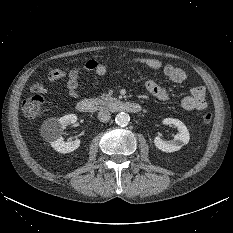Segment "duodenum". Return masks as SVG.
Wrapping results in <instances>:
<instances>
[{
  "instance_id": "duodenum-1",
  "label": "duodenum",
  "mask_w": 233,
  "mask_h": 233,
  "mask_svg": "<svg viewBox=\"0 0 233 233\" xmlns=\"http://www.w3.org/2000/svg\"><path fill=\"white\" fill-rule=\"evenodd\" d=\"M77 109L83 113L95 112L98 110H109L112 112L138 113L142 107L138 103L119 99H82L77 103Z\"/></svg>"
}]
</instances>
